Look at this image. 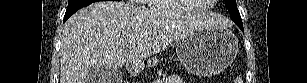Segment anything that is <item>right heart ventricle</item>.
I'll use <instances>...</instances> for the list:
<instances>
[{
    "mask_svg": "<svg viewBox=\"0 0 307 83\" xmlns=\"http://www.w3.org/2000/svg\"><path fill=\"white\" fill-rule=\"evenodd\" d=\"M149 6L152 9L159 10V11H162V12L176 10V8H175V6H174V4L171 0L151 1ZM206 7L209 8V5H206Z\"/></svg>",
    "mask_w": 307,
    "mask_h": 83,
    "instance_id": "1",
    "label": "right heart ventricle"
}]
</instances>
